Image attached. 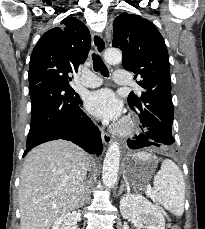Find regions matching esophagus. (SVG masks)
<instances>
[{
	"label": "esophagus",
	"instance_id": "obj_1",
	"mask_svg": "<svg viewBox=\"0 0 205 229\" xmlns=\"http://www.w3.org/2000/svg\"><path fill=\"white\" fill-rule=\"evenodd\" d=\"M92 45L95 51L100 55L103 54L106 48V42L104 38L102 37V35L96 32L92 34ZM101 137H102L103 143L106 145L110 144L112 141L110 134L104 128H101Z\"/></svg>",
	"mask_w": 205,
	"mask_h": 229
}]
</instances>
